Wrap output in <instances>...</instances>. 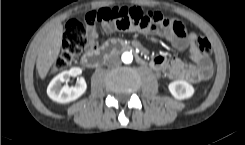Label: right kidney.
<instances>
[{
  "instance_id": "1",
  "label": "right kidney",
  "mask_w": 245,
  "mask_h": 145,
  "mask_svg": "<svg viewBox=\"0 0 245 145\" xmlns=\"http://www.w3.org/2000/svg\"><path fill=\"white\" fill-rule=\"evenodd\" d=\"M82 73L79 67H73L68 71H63L54 77L47 87V95L53 101L58 103H68L78 99L87 89V84L83 78H79L75 86H62V83L68 82L71 76H78Z\"/></svg>"
}]
</instances>
